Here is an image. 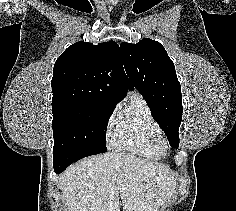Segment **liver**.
Instances as JSON below:
<instances>
[{"mask_svg":"<svg viewBox=\"0 0 236 211\" xmlns=\"http://www.w3.org/2000/svg\"><path fill=\"white\" fill-rule=\"evenodd\" d=\"M68 211H159L176 180L164 165L125 152L83 159L60 176ZM120 195V198H119Z\"/></svg>","mask_w":236,"mask_h":211,"instance_id":"1","label":"liver"}]
</instances>
